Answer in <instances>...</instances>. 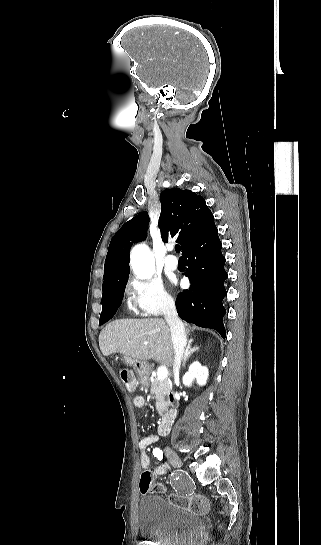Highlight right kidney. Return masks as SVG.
Instances as JSON below:
<instances>
[{
  "label": "right kidney",
  "instance_id": "ca27d5eb",
  "mask_svg": "<svg viewBox=\"0 0 321 545\" xmlns=\"http://www.w3.org/2000/svg\"><path fill=\"white\" fill-rule=\"evenodd\" d=\"M208 375L207 367H202L198 361H194V363L190 365L187 373L183 375L182 383L185 387H191L194 379H196L198 385H206Z\"/></svg>",
  "mask_w": 321,
  "mask_h": 545
}]
</instances>
